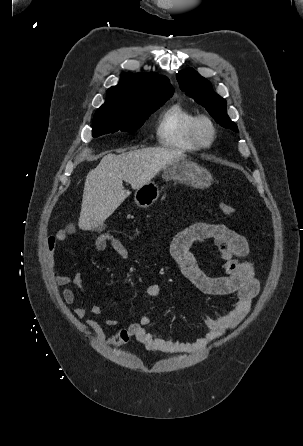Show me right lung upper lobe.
Returning a JSON list of instances; mask_svg holds the SVG:
<instances>
[{
	"label": "right lung upper lobe",
	"instance_id": "1",
	"mask_svg": "<svg viewBox=\"0 0 303 446\" xmlns=\"http://www.w3.org/2000/svg\"><path fill=\"white\" fill-rule=\"evenodd\" d=\"M174 89L167 77L157 73H126L120 83L108 89L106 102L99 109L144 111L165 103Z\"/></svg>",
	"mask_w": 303,
	"mask_h": 446
}]
</instances>
